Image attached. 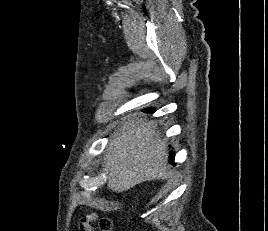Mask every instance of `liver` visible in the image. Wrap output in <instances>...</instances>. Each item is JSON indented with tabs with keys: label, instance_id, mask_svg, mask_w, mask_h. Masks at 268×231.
Listing matches in <instances>:
<instances>
[{
	"label": "liver",
	"instance_id": "6515ba94",
	"mask_svg": "<svg viewBox=\"0 0 268 231\" xmlns=\"http://www.w3.org/2000/svg\"><path fill=\"white\" fill-rule=\"evenodd\" d=\"M165 139L152 120L134 117L116 130L105 154L108 187L123 192L141 182L168 178Z\"/></svg>",
	"mask_w": 268,
	"mask_h": 231
}]
</instances>
